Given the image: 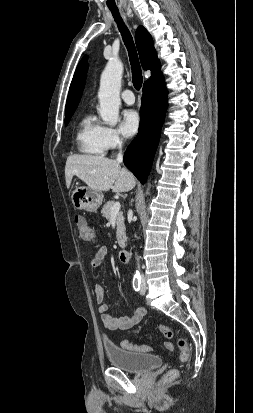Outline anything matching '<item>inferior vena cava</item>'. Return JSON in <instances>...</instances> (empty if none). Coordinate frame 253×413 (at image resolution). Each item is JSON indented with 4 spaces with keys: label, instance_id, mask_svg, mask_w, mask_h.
Listing matches in <instances>:
<instances>
[{
    "label": "inferior vena cava",
    "instance_id": "602c4592",
    "mask_svg": "<svg viewBox=\"0 0 253 413\" xmlns=\"http://www.w3.org/2000/svg\"><path fill=\"white\" fill-rule=\"evenodd\" d=\"M118 147L121 149V141H118ZM123 161V155L121 153V151L119 152L118 156H117V162L120 163Z\"/></svg>",
    "mask_w": 253,
    "mask_h": 413
}]
</instances>
